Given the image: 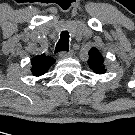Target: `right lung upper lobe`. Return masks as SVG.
Returning a JSON list of instances; mask_svg holds the SVG:
<instances>
[{"label":"right lung upper lobe","mask_w":135,"mask_h":135,"mask_svg":"<svg viewBox=\"0 0 135 135\" xmlns=\"http://www.w3.org/2000/svg\"><path fill=\"white\" fill-rule=\"evenodd\" d=\"M55 62V59L46 56L45 54H41L39 56H35L31 60V72L34 76H41L45 74L51 65Z\"/></svg>","instance_id":"right-lung-upper-lobe-1"}]
</instances>
